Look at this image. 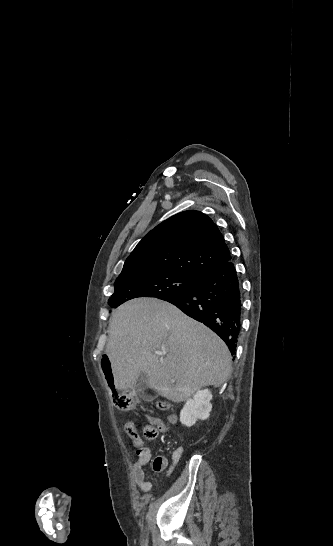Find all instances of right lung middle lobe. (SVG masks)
<instances>
[{
	"instance_id": "right-lung-middle-lobe-1",
	"label": "right lung middle lobe",
	"mask_w": 333,
	"mask_h": 546,
	"mask_svg": "<svg viewBox=\"0 0 333 546\" xmlns=\"http://www.w3.org/2000/svg\"><path fill=\"white\" fill-rule=\"evenodd\" d=\"M199 279L173 272H122L115 281V292L109 298L108 304L112 308H117L136 297H155L164 300L189 291Z\"/></svg>"
}]
</instances>
